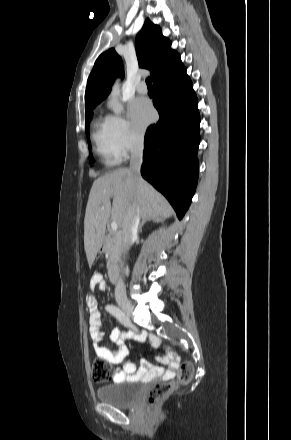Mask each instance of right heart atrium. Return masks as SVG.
Segmentation results:
<instances>
[{
    "mask_svg": "<svg viewBox=\"0 0 291 440\" xmlns=\"http://www.w3.org/2000/svg\"><path fill=\"white\" fill-rule=\"evenodd\" d=\"M108 131L114 150L125 157L143 141V135L121 115L107 116Z\"/></svg>",
    "mask_w": 291,
    "mask_h": 440,
    "instance_id": "d8ad5b80",
    "label": "right heart atrium"
}]
</instances>
